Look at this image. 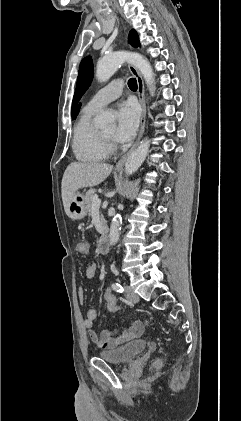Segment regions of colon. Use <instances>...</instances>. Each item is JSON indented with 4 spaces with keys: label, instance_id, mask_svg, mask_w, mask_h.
I'll return each instance as SVG.
<instances>
[{
    "label": "colon",
    "instance_id": "obj_1",
    "mask_svg": "<svg viewBox=\"0 0 241 421\" xmlns=\"http://www.w3.org/2000/svg\"><path fill=\"white\" fill-rule=\"evenodd\" d=\"M76 251L81 255H87L90 251V245L87 241H79L76 243ZM107 310L110 312L120 311V306L117 302L115 295L110 289H106L104 293Z\"/></svg>",
    "mask_w": 241,
    "mask_h": 421
}]
</instances>
